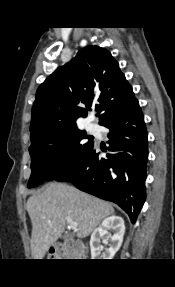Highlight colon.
<instances>
[{"instance_id":"obj_1","label":"colon","mask_w":175,"mask_h":287,"mask_svg":"<svg viewBox=\"0 0 175 287\" xmlns=\"http://www.w3.org/2000/svg\"><path fill=\"white\" fill-rule=\"evenodd\" d=\"M71 252L75 253V254H80L82 252V247L79 244H73L71 247ZM50 255L52 257H57L58 256V252L56 249H51L50 250Z\"/></svg>"}]
</instances>
